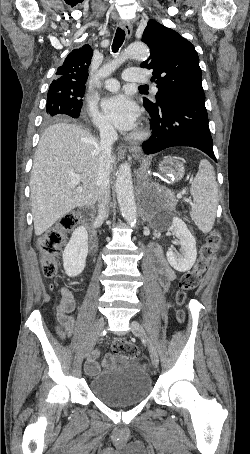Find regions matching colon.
I'll use <instances>...</instances> for the list:
<instances>
[{"label": "colon", "instance_id": "colon-1", "mask_svg": "<svg viewBox=\"0 0 250 454\" xmlns=\"http://www.w3.org/2000/svg\"><path fill=\"white\" fill-rule=\"evenodd\" d=\"M77 217L73 213L63 216L53 227H51L38 240V249L41 254L42 272L46 277H55L58 273V257L62 252V246L67 234L74 229ZM222 239L219 233H211L202 244L199 256L194 266L186 271L180 278L176 302L183 305L188 292L194 290L207 270L213 255L220 249ZM179 321H183L184 312L179 310L177 313ZM113 352L117 355L135 358L137 355L136 347L126 341L118 340L113 343Z\"/></svg>", "mask_w": 250, "mask_h": 454}]
</instances>
